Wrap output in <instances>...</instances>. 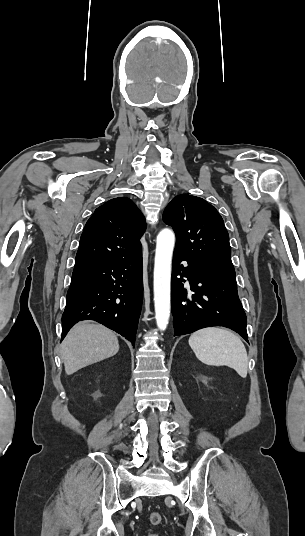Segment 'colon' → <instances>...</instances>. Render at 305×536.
Here are the masks:
<instances>
[{
	"label": "colon",
	"instance_id": "5ec220e1",
	"mask_svg": "<svg viewBox=\"0 0 305 536\" xmlns=\"http://www.w3.org/2000/svg\"><path fill=\"white\" fill-rule=\"evenodd\" d=\"M149 520L152 524L158 525V524H161L162 522V516L160 513L152 512L150 514Z\"/></svg>",
	"mask_w": 305,
	"mask_h": 536
}]
</instances>
